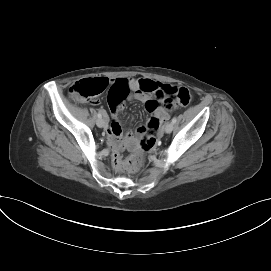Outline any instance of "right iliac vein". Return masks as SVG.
<instances>
[{
  "label": "right iliac vein",
  "mask_w": 271,
  "mask_h": 271,
  "mask_svg": "<svg viewBox=\"0 0 271 271\" xmlns=\"http://www.w3.org/2000/svg\"><path fill=\"white\" fill-rule=\"evenodd\" d=\"M96 124L99 128H103L105 126V120L102 119V118H99L97 121H96Z\"/></svg>",
  "instance_id": "1"
}]
</instances>
